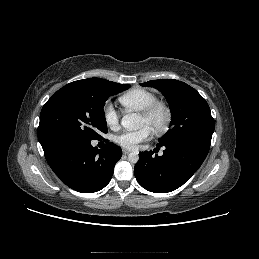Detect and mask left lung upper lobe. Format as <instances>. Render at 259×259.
<instances>
[{
  "mask_svg": "<svg viewBox=\"0 0 259 259\" xmlns=\"http://www.w3.org/2000/svg\"><path fill=\"white\" fill-rule=\"evenodd\" d=\"M140 85L160 90L170 105V129L158 145L177 140H197L210 145L214 119L207 102L194 88L174 79H158Z\"/></svg>",
  "mask_w": 259,
  "mask_h": 259,
  "instance_id": "1",
  "label": "left lung upper lobe"
}]
</instances>
